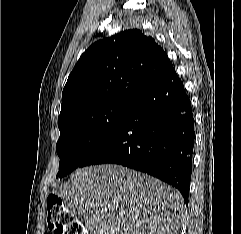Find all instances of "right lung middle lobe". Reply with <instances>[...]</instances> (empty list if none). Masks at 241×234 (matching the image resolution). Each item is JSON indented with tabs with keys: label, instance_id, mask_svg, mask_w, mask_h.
Wrapping results in <instances>:
<instances>
[{
	"label": "right lung middle lobe",
	"instance_id": "right-lung-middle-lobe-1",
	"mask_svg": "<svg viewBox=\"0 0 241 234\" xmlns=\"http://www.w3.org/2000/svg\"><path fill=\"white\" fill-rule=\"evenodd\" d=\"M132 104L109 102L77 110L60 124L56 145L60 158L57 178L80 167L82 161L116 128Z\"/></svg>",
	"mask_w": 241,
	"mask_h": 234
}]
</instances>
